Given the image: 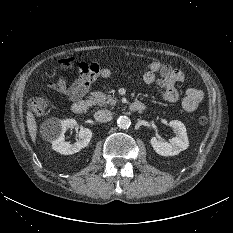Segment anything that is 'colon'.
<instances>
[{"label": "colon", "mask_w": 233, "mask_h": 233, "mask_svg": "<svg viewBox=\"0 0 233 233\" xmlns=\"http://www.w3.org/2000/svg\"><path fill=\"white\" fill-rule=\"evenodd\" d=\"M75 59L73 57L64 58L58 61V65L61 69H68L73 66ZM82 63V62H80ZM29 109L36 115H43L46 113L49 107V101L46 98H34L28 102ZM209 119L207 116L202 115L199 117L198 122L201 125H206Z\"/></svg>", "instance_id": "obj_1"}]
</instances>
